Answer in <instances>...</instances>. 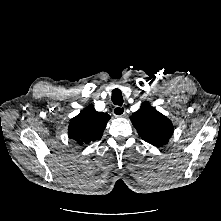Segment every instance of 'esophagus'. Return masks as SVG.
I'll list each match as a JSON object with an SVG mask.
<instances>
[{
  "instance_id": "obj_1",
  "label": "esophagus",
  "mask_w": 221,
  "mask_h": 221,
  "mask_svg": "<svg viewBox=\"0 0 221 221\" xmlns=\"http://www.w3.org/2000/svg\"><path fill=\"white\" fill-rule=\"evenodd\" d=\"M112 113L115 117H122L125 115L126 110L123 106H115L112 110Z\"/></svg>"
}]
</instances>
